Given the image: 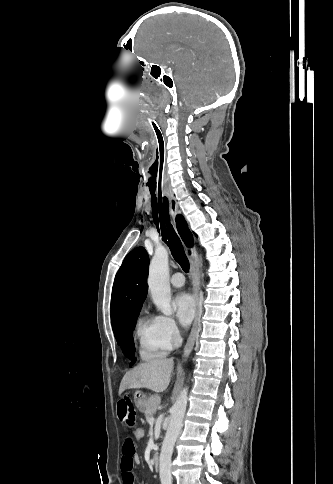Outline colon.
<instances>
[{
    "label": "colon",
    "mask_w": 333,
    "mask_h": 484,
    "mask_svg": "<svg viewBox=\"0 0 333 484\" xmlns=\"http://www.w3.org/2000/svg\"><path fill=\"white\" fill-rule=\"evenodd\" d=\"M133 437L135 440L140 441L145 437V429L141 426H137L133 430Z\"/></svg>",
    "instance_id": "1"
}]
</instances>
